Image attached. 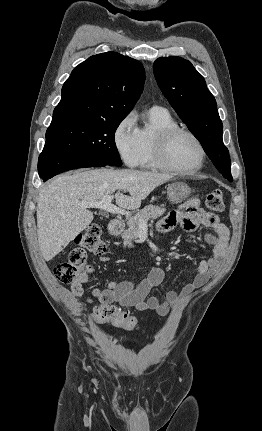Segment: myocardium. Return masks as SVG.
I'll return each mask as SVG.
<instances>
[{
    "instance_id": "myocardium-1",
    "label": "myocardium",
    "mask_w": 262,
    "mask_h": 431,
    "mask_svg": "<svg viewBox=\"0 0 262 431\" xmlns=\"http://www.w3.org/2000/svg\"><path fill=\"white\" fill-rule=\"evenodd\" d=\"M179 134H185L192 138L197 144L200 151V160L198 165L192 170H183L173 165L168 157V147L171 139ZM154 157L158 167L164 171L172 172L178 175L191 176L200 171L206 161L207 153L201 139L192 131L179 127H168L159 130L154 140Z\"/></svg>"
}]
</instances>
